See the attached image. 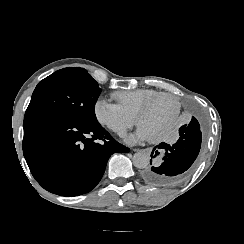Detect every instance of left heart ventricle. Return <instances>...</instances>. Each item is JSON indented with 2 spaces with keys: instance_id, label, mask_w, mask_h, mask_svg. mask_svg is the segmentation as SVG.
Wrapping results in <instances>:
<instances>
[{
  "instance_id": "1",
  "label": "left heart ventricle",
  "mask_w": 244,
  "mask_h": 244,
  "mask_svg": "<svg viewBox=\"0 0 244 244\" xmlns=\"http://www.w3.org/2000/svg\"><path fill=\"white\" fill-rule=\"evenodd\" d=\"M175 104L171 100H162L148 110V113L141 117V124L143 127L152 130L155 135L161 136L165 129V119L169 117V112L174 111Z\"/></svg>"
}]
</instances>
